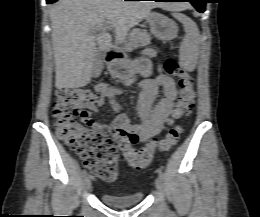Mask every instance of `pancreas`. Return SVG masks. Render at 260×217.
<instances>
[{
    "label": "pancreas",
    "mask_w": 260,
    "mask_h": 217,
    "mask_svg": "<svg viewBox=\"0 0 260 217\" xmlns=\"http://www.w3.org/2000/svg\"><path fill=\"white\" fill-rule=\"evenodd\" d=\"M151 36L145 30L134 29L130 36L129 42L126 43V49L131 50L139 46H145L150 44Z\"/></svg>",
    "instance_id": "pancreas-1"
}]
</instances>
